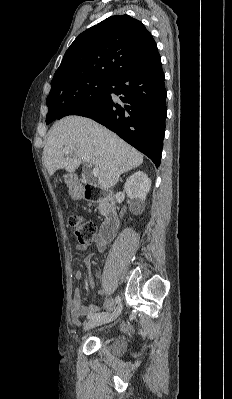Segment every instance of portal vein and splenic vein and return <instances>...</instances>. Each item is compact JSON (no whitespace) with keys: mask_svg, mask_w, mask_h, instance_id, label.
<instances>
[{"mask_svg":"<svg viewBox=\"0 0 232 399\" xmlns=\"http://www.w3.org/2000/svg\"><path fill=\"white\" fill-rule=\"evenodd\" d=\"M63 152H64V154H71V152H74V154H76V156H78V158H81V160H82V162H84V164H89V160H85V158H83V156H81V154H79V152H75V150H73V148H69V146H65V148H63ZM89 166H92V164H89ZM92 174H93V176H95V178H97V176L99 174V170H97V168H94Z\"/></svg>","mask_w":232,"mask_h":399,"instance_id":"portal-vein-and-splenic-vein-1","label":"portal vein and splenic vein"}]
</instances>
